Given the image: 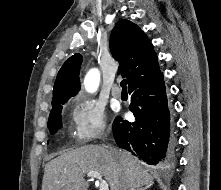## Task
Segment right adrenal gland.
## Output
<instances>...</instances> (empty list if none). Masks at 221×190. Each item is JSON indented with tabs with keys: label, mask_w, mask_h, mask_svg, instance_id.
Returning a JSON list of instances; mask_svg holds the SVG:
<instances>
[{
	"label": "right adrenal gland",
	"mask_w": 221,
	"mask_h": 190,
	"mask_svg": "<svg viewBox=\"0 0 221 190\" xmlns=\"http://www.w3.org/2000/svg\"><path fill=\"white\" fill-rule=\"evenodd\" d=\"M151 187V185H146L145 187L139 188L137 190H148Z\"/></svg>",
	"instance_id": "obj_1"
}]
</instances>
